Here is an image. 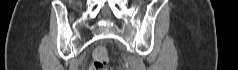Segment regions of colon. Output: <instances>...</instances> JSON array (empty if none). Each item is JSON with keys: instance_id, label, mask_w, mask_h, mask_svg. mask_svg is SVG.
Listing matches in <instances>:
<instances>
[{"instance_id": "1", "label": "colon", "mask_w": 238, "mask_h": 70, "mask_svg": "<svg viewBox=\"0 0 238 70\" xmlns=\"http://www.w3.org/2000/svg\"><path fill=\"white\" fill-rule=\"evenodd\" d=\"M108 62V51L104 46H98L93 52L91 70H103Z\"/></svg>"}]
</instances>
